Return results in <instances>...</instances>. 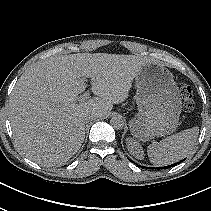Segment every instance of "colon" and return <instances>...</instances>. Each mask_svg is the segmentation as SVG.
<instances>
[{"instance_id": "obj_1", "label": "colon", "mask_w": 211, "mask_h": 211, "mask_svg": "<svg viewBox=\"0 0 211 211\" xmlns=\"http://www.w3.org/2000/svg\"><path fill=\"white\" fill-rule=\"evenodd\" d=\"M180 94L185 110L188 112L192 111L194 108V96L191 86L186 83L181 84Z\"/></svg>"}]
</instances>
